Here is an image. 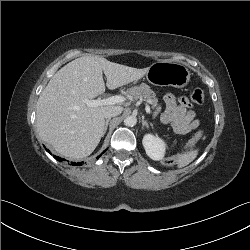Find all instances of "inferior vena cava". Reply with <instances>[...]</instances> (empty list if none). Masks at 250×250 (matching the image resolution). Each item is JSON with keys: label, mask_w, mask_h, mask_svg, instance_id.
I'll return each mask as SVG.
<instances>
[{"label": "inferior vena cava", "mask_w": 250, "mask_h": 250, "mask_svg": "<svg viewBox=\"0 0 250 250\" xmlns=\"http://www.w3.org/2000/svg\"><path fill=\"white\" fill-rule=\"evenodd\" d=\"M122 112V107L115 106L109 108V110L105 113V118H111L119 115Z\"/></svg>", "instance_id": "obj_1"}]
</instances>
